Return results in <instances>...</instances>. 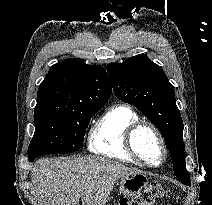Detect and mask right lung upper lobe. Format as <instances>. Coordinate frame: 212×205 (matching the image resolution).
Returning a JSON list of instances; mask_svg holds the SVG:
<instances>
[{"mask_svg": "<svg viewBox=\"0 0 212 205\" xmlns=\"http://www.w3.org/2000/svg\"><path fill=\"white\" fill-rule=\"evenodd\" d=\"M111 83L100 65L67 59L50 67L40 84L35 111H60L79 105H104Z\"/></svg>", "mask_w": 212, "mask_h": 205, "instance_id": "right-lung-upper-lobe-1", "label": "right lung upper lobe"}]
</instances>
